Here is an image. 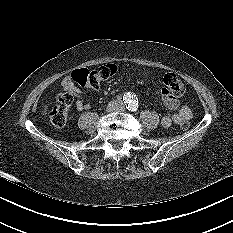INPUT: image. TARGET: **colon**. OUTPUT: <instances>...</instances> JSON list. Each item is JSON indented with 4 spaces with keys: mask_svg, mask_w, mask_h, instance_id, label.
Returning a JSON list of instances; mask_svg holds the SVG:
<instances>
[{
    "mask_svg": "<svg viewBox=\"0 0 233 233\" xmlns=\"http://www.w3.org/2000/svg\"><path fill=\"white\" fill-rule=\"evenodd\" d=\"M117 72L114 64H105L98 69L89 70L86 68L72 72L71 79L82 87L96 89L100 84L111 79ZM163 90L172 97H181L185 93V85L174 73H166L163 76ZM72 104V97L68 93H61L57 96L56 103L51 108L44 111L45 116L55 127H63L68 120L69 108ZM190 126L188 121L181 123L183 130Z\"/></svg>",
    "mask_w": 233,
    "mask_h": 233,
    "instance_id": "5ec220e1",
    "label": "colon"
}]
</instances>
